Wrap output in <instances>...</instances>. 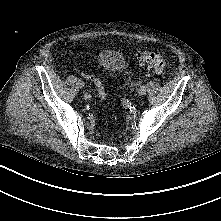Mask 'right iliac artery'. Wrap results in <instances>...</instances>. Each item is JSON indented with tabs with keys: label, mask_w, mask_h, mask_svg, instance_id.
<instances>
[{
	"label": "right iliac artery",
	"mask_w": 221,
	"mask_h": 221,
	"mask_svg": "<svg viewBox=\"0 0 221 221\" xmlns=\"http://www.w3.org/2000/svg\"><path fill=\"white\" fill-rule=\"evenodd\" d=\"M91 98H92V95L90 94V92H85L84 93V99L85 100H91Z\"/></svg>",
	"instance_id": "82829eb1"
}]
</instances>
